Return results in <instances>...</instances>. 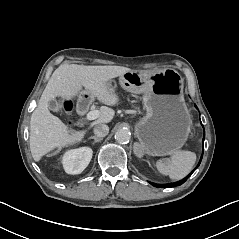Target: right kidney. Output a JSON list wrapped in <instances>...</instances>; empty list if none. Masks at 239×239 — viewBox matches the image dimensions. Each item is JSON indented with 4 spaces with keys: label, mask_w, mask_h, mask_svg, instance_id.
I'll use <instances>...</instances> for the list:
<instances>
[{
    "label": "right kidney",
    "mask_w": 239,
    "mask_h": 239,
    "mask_svg": "<svg viewBox=\"0 0 239 239\" xmlns=\"http://www.w3.org/2000/svg\"><path fill=\"white\" fill-rule=\"evenodd\" d=\"M91 158L92 150L90 148L69 151L63 158L65 171L68 174H79L88 166Z\"/></svg>",
    "instance_id": "right-kidney-1"
}]
</instances>
